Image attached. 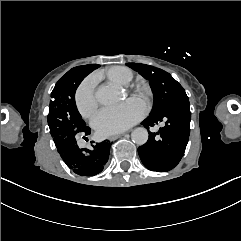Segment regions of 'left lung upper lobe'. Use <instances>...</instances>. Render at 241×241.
Instances as JSON below:
<instances>
[{"label":"left lung upper lobe","instance_id":"5c2ea615","mask_svg":"<svg viewBox=\"0 0 241 241\" xmlns=\"http://www.w3.org/2000/svg\"><path fill=\"white\" fill-rule=\"evenodd\" d=\"M149 80L154 95V104L149 116L158 114L181 98H188L184 88L167 72L140 63H127Z\"/></svg>","mask_w":241,"mask_h":241}]
</instances>
